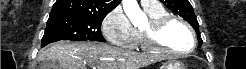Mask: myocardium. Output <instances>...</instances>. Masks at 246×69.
<instances>
[{
	"label": "myocardium",
	"instance_id": "f54148a6",
	"mask_svg": "<svg viewBox=\"0 0 246 69\" xmlns=\"http://www.w3.org/2000/svg\"><path fill=\"white\" fill-rule=\"evenodd\" d=\"M173 21L180 22L189 32L193 46L186 51L176 50L169 47L162 41V35L165 28ZM142 35L145 43L153 49L161 51L163 53L180 55L191 53L195 48L196 38L192 27L181 17L173 14H169L153 21H148L146 26L142 30Z\"/></svg>",
	"mask_w": 246,
	"mask_h": 69
}]
</instances>
